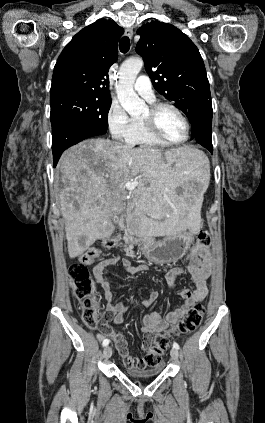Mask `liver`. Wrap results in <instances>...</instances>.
Returning a JSON list of instances; mask_svg holds the SVG:
<instances>
[{
    "label": "liver",
    "mask_w": 265,
    "mask_h": 423,
    "mask_svg": "<svg viewBox=\"0 0 265 423\" xmlns=\"http://www.w3.org/2000/svg\"><path fill=\"white\" fill-rule=\"evenodd\" d=\"M63 189L59 200L65 220L68 252L82 255L96 240L112 235L111 218L136 208L148 236L175 235L200 229L199 203L185 190L189 183L209 181V161L190 147L162 151L132 148L116 141L85 140L61 157ZM138 184L128 194L125 184Z\"/></svg>",
    "instance_id": "1"
}]
</instances>
